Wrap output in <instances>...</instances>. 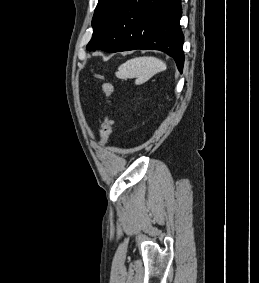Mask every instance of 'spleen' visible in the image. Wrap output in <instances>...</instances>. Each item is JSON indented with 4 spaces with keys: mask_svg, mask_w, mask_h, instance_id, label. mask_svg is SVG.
I'll use <instances>...</instances> for the list:
<instances>
[{
    "mask_svg": "<svg viewBox=\"0 0 259 283\" xmlns=\"http://www.w3.org/2000/svg\"><path fill=\"white\" fill-rule=\"evenodd\" d=\"M165 69L166 64L156 57H136L126 61L118 68L117 77H137L138 82L143 83Z\"/></svg>",
    "mask_w": 259,
    "mask_h": 283,
    "instance_id": "3e777b00",
    "label": "spleen"
}]
</instances>
